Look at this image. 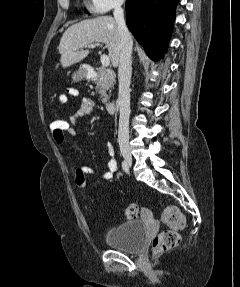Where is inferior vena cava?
Returning a JSON list of instances; mask_svg holds the SVG:
<instances>
[{
    "instance_id": "1",
    "label": "inferior vena cava",
    "mask_w": 240,
    "mask_h": 287,
    "mask_svg": "<svg viewBox=\"0 0 240 287\" xmlns=\"http://www.w3.org/2000/svg\"><path fill=\"white\" fill-rule=\"evenodd\" d=\"M124 0H115L113 15L119 32V129L118 142L120 148H129V117H130V80L132 74L131 54L133 40L124 20L122 5Z\"/></svg>"
}]
</instances>
